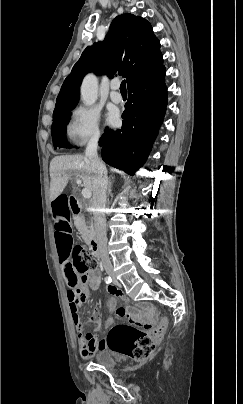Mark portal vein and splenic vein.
I'll return each mask as SVG.
<instances>
[{
    "instance_id": "1",
    "label": "portal vein and splenic vein",
    "mask_w": 243,
    "mask_h": 404,
    "mask_svg": "<svg viewBox=\"0 0 243 404\" xmlns=\"http://www.w3.org/2000/svg\"><path fill=\"white\" fill-rule=\"evenodd\" d=\"M77 184H82L81 180H77ZM83 198H91L92 192L91 190H88V188H83L81 192Z\"/></svg>"
}]
</instances>
